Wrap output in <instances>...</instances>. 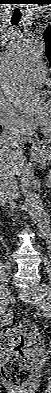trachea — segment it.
<instances>
[{"mask_svg":"<svg viewBox=\"0 0 51 393\" xmlns=\"http://www.w3.org/2000/svg\"><path fill=\"white\" fill-rule=\"evenodd\" d=\"M20 19H21V15L19 13H14L12 18H11V24L12 25L18 24Z\"/></svg>","mask_w":51,"mask_h":393,"instance_id":"obj_1","label":"trachea"}]
</instances>
